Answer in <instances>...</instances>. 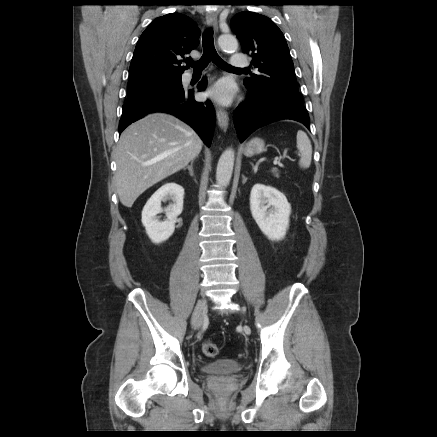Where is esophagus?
I'll use <instances>...</instances> for the list:
<instances>
[{
	"label": "esophagus",
	"instance_id": "esophagus-1",
	"mask_svg": "<svg viewBox=\"0 0 437 437\" xmlns=\"http://www.w3.org/2000/svg\"><path fill=\"white\" fill-rule=\"evenodd\" d=\"M206 22H207L209 27H212L215 31H217L218 22H217V13L216 12L209 11L206 14ZM216 115H217L219 127L223 131H226L228 128V123H229L228 112L224 108L216 105Z\"/></svg>",
	"mask_w": 437,
	"mask_h": 437
}]
</instances>
